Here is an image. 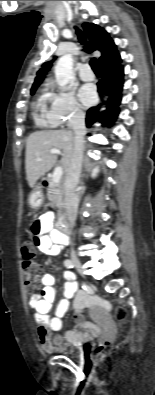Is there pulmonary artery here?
Wrapping results in <instances>:
<instances>
[{"label":"pulmonary artery","mask_w":155,"mask_h":395,"mask_svg":"<svg viewBox=\"0 0 155 395\" xmlns=\"http://www.w3.org/2000/svg\"><path fill=\"white\" fill-rule=\"evenodd\" d=\"M79 76L83 81H92L94 74L88 65H83L79 71Z\"/></svg>","instance_id":"pulmonary-artery-1"}]
</instances>
